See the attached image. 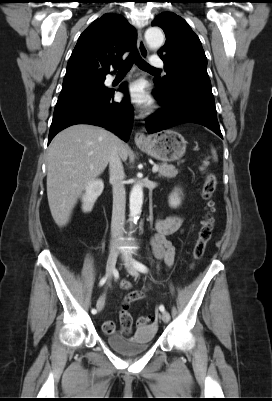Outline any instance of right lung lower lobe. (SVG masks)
<instances>
[{
  "mask_svg": "<svg viewBox=\"0 0 272 401\" xmlns=\"http://www.w3.org/2000/svg\"><path fill=\"white\" fill-rule=\"evenodd\" d=\"M126 84L119 91L125 92ZM114 90L80 94L58 101L49 132L48 144L64 128L75 124H91L104 127L127 142L133 124V107L129 99L121 103L112 101Z\"/></svg>",
  "mask_w": 272,
  "mask_h": 401,
  "instance_id": "obj_1",
  "label": "right lung lower lobe"
}]
</instances>
